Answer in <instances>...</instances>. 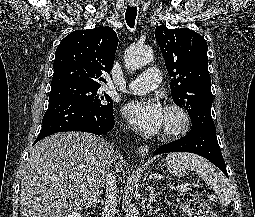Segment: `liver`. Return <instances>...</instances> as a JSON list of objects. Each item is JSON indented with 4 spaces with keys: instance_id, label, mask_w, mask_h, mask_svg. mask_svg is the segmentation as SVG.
Listing matches in <instances>:
<instances>
[{
    "instance_id": "1",
    "label": "liver",
    "mask_w": 255,
    "mask_h": 217,
    "mask_svg": "<svg viewBox=\"0 0 255 217\" xmlns=\"http://www.w3.org/2000/svg\"><path fill=\"white\" fill-rule=\"evenodd\" d=\"M116 156L105 140L62 132L33 146L21 182L22 217H62L92 206ZM116 168L122 171L118 161Z\"/></svg>"
}]
</instances>
